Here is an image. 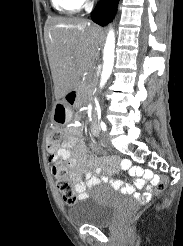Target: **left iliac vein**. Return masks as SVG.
I'll return each instance as SVG.
<instances>
[{"label": "left iliac vein", "mask_w": 183, "mask_h": 246, "mask_svg": "<svg viewBox=\"0 0 183 246\" xmlns=\"http://www.w3.org/2000/svg\"><path fill=\"white\" fill-rule=\"evenodd\" d=\"M102 139H103V142H104V144H105V146L107 148H109V149L112 148V145H111V142H110V137H109V135L107 133H105L103 135Z\"/></svg>", "instance_id": "1"}]
</instances>
